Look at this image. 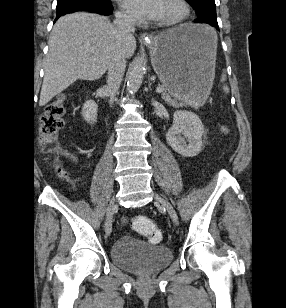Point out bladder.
<instances>
[{
    "label": "bladder",
    "instance_id": "31cf9c89",
    "mask_svg": "<svg viewBox=\"0 0 286 308\" xmlns=\"http://www.w3.org/2000/svg\"><path fill=\"white\" fill-rule=\"evenodd\" d=\"M112 261L119 267L138 273L162 269L173 257L168 247L146 244L134 238L117 239L110 249Z\"/></svg>",
    "mask_w": 286,
    "mask_h": 308
}]
</instances>
